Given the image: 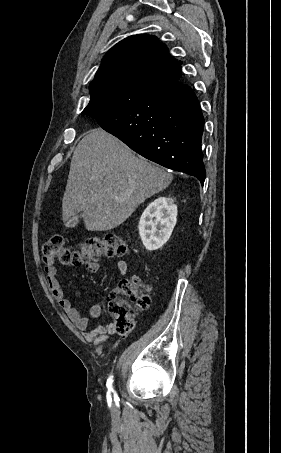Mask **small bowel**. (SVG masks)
Here are the masks:
<instances>
[{"instance_id": "c3829d8e", "label": "small bowel", "mask_w": 281, "mask_h": 453, "mask_svg": "<svg viewBox=\"0 0 281 453\" xmlns=\"http://www.w3.org/2000/svg\"><path fill=\"white\" fill-rule=\"evenodd\" d=\"M44 273L47 280V285L52 295L59 300V303L69 318L76 324V327L83 333L85 340L100 344L110 338L114 331L112 323H104L88 330L90 319L97 318L102 312V304L95 303L90 308V316H83L78 309L73 306L70 299L65 296L61 283L57 278V270L52 260H46L43 265ZM99 265L97 262H88L87 270L89 272H97ZM117 269L121 276H124L128 271V264L124 260L117 262Z\"/></svg>"}]
</instances>
